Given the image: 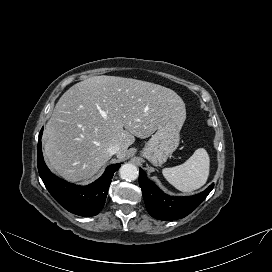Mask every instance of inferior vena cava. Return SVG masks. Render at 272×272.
I'll return each instance as SVG.
<instances>
[{"mask_svg":"<svg viewBox=\"0 0 272 272\" xmlns=\"http://www.w3.org/2000/svg\"><path fill=\"white\" fill-rule=\"evenodd\" d=\"M120 150V147L119 145L115 144V145H112L110 146L107 151L110 155H114V154H117Z\"/></svg>","mask_w":272,"mask_h":272,"instance_id":"602c4592","label":"inferior vena cava"}]
</instances>
